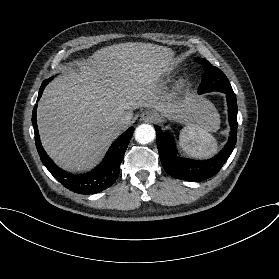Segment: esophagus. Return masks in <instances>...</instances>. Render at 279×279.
Wrapping results in <instances>:
<instances>
[{
	"mask_svg": "<svg viewBox=\"0 0 279 279\" xmlns=\"http://www.w3.org/2000/svg\"><path fill=\"white\" fill-rule=\"evenodd\" d=\"M158 118V114L154 110H144L141 113V119L147 122H154Z\"/></svg>",
	"mask_w": 279,
	"mask_h": 279,
	"instance_id": "1",
	"label": "esophagus"
}]
</instances>
